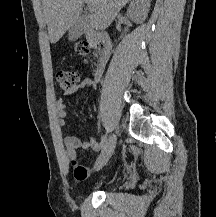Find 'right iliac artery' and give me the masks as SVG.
I'll use <instances>...</instances> for the list:
<instances>
[{
  "label": "right iliac artery",
  "instance_id": "1",
  "mask_svg": "<svg viewBox=\"0 0 216 217\" xmlns=\"http://www.w3.org/2000/svg\"><path fill=\"white\" fill-rule=\"evenodd\" d=\"M106 143H107V136L103 135L101 137V142H100L101 149H103L105 147Z\"/></svg>",
  "mask_w": 216,
  "mask_h": 217
}]
</instances>
